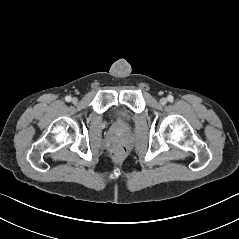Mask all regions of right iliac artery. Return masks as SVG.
<instances>
[{
	"label": "right iliac artery",
	"mask_w": 239,
	"mask_h": 239,
	"mask_svg": "<svg viewBox=\"0 0 239 239\" xmlns=\"http://www.w3.org/2000/svg\"><path fill=\"white\" fill-rule=\"evenodd\" d=\"M65 100H66L67 102H70V101H71V97H70V96H66V97H65Z\"/></svg>",
	"instance_id": "1"
}]
</instances>
